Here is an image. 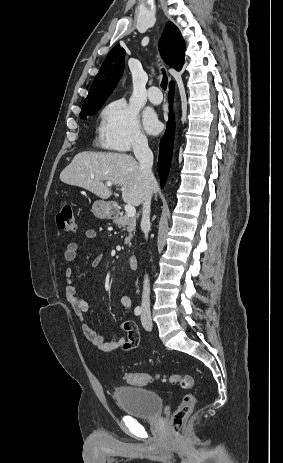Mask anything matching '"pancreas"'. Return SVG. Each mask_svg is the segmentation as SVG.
<instances>
[{
  "label": "pancreas",
  "instance_id": "pancreas-1",
  "mask_svg": "<svg viewBox=\"0 0 283 463\" xmlns=\"http://www.w3.org/2000/svg\"><path fill=\"white\" fill-rule=\"evenodd\" d=\"M113 223L124 231H128L129 235L125 238V244H130L131 238L136 228V218L128 216H115Z\"/></svg>",
  "mask_w": 283,
  "mask_h": 463
}]
</instances>
